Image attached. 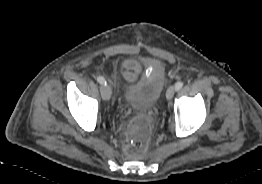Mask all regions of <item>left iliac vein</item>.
<instances>
[{
	"label": "left iliac vein",
	"instance_id": "4c4485c4",
	"mask_svg": "<svg viewBox=\"0 0 262 184\" xmlns=\"http://www.w3.org/2000/svg\"><path fill=\"white\" fill-rule=\"evenodd\" d=\"M176 88L175 86H170L166 91V98L168 100L172 99L175 94Z\"/></svg>",
	"mask_w": 262,
	"mask_h": 184
}]
</instances>
